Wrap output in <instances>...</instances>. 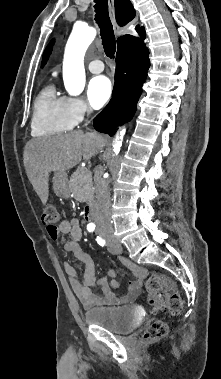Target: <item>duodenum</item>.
Segmentation results:
<instances>
[{
    "label": "duodenum",
    "instance_id": "obj_1",
    "mask_svg": "<svg viewBox=\"0 0 221 379\" xmlns=\"http://www.w3.org/2000/svg\"><path fill=\"white\" fill-rule=\"evenodd\" d=\"M97 215V205L95 203L90 204L84 212V219L87 222H91Z\"/></svg>",
    "mask_w": 221,
    "mask_h": 379
}]
</instances>
